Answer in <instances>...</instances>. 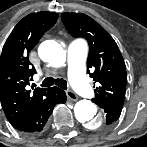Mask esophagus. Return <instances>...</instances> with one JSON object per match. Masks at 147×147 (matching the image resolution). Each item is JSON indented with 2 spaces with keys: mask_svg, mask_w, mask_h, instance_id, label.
Here are the masks:
<instances>
[{
  "mask_svg": "<svg viewBox=\"0 0 147 147\" xmlns=\"http://www.w3.org/2000/svg\"><path fill=\"white\" fill-rule=\"evenodd\" d=\"M66 95L72 101H76L78 99L77 95L72 90H66Z\"/></svg>",
  "mask_w": 147,
  "mask_h": 147,
  "instance_id": "esophagus-1",
  "label": "esophagus"
}]
</instances>
